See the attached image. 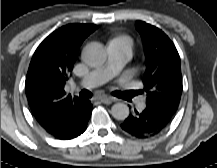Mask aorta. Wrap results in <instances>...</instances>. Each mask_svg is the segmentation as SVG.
<instances>
[{
  "instance_id": "aorta-1",
  "label": "aorta",
  "mask_w": 217,
  "mask_h": 168,
  "mask_svg": "<svg viewBox=\"0 0 217 168\" xmlns=\"http://www.w3.org/2000/svg\"><path fill=\"white\" fill-rule=\"evenodd\" d=\"M104 48L97 43L86 46L82 52L83 61L90 67H99L106 61ZM112 116L117 120H125L129 116V107L124 103H116L111 108Z\"/></svg>"
}]
</instances>
